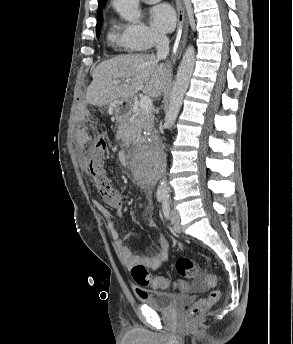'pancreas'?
Segmentation results:
<instances>
[{
	"label": "pancreas",
	"instance_id": "cf45deb5",
	"mask_svg": "<svg viewBox=\"0 0 293 344\" xmlns=\"http://www.w3.org/2000/svg\"><path fill=\"white\" fill-rule=\"evenodd\" d=\"M154 123V115L143 113L142 111H133L132 120L128 123V130L134 131L140 135L142 131L151 132Z\"/></svg>",
	"mask_w": 293,
	"mask_h": 344
}]
</instances>
